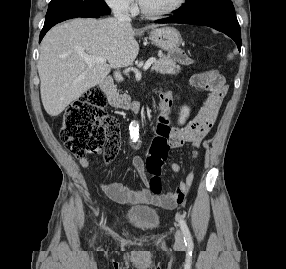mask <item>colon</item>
Instances as JSON below:
<instances>
[{
    "label": "colon",
    "instance_id": "5ec220e1",
    "mask_svg": "<svg viewBox=\"0 0 286 269\" xmlns=\"http://www.w3.org/2000/svg\"><path fill=\"white\" fill-rule=\"evenodd\" d=\"M165 53L171 62H180V66H201V61H194V57H191L189 49H166ZM189 88L205 91L206 100L202 110H221L223 100H227V83L217 71L195 74ZM105 105L103 93L98 88H92L64 111L60 137L74 157L83 159L90 154L103 152L108 164L118 154L121 146L120 126L115 118L105 114ZM154 122L160 126V131H165V126H171V117L167 111H158ZM167 134L165 132L164 137H157V132H152L149 142H145L148 150H143V155H147L149 186L154 194L162 191V168H166L164 162L172 148ZM184 195H181L182 201Z\"/></svg>",
    "mask_w": 286,
    "mask_h": 269
}]
</instances>
